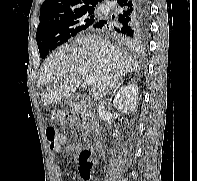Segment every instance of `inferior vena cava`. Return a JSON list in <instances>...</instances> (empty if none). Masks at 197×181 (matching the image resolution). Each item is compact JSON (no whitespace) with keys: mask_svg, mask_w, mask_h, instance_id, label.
I'll list each match as a JSON object with an SVG mask.
<instances>
[{"mask_svg":"<svg viewBox=\"0 0 197 181\" xmlns=\"http://www.w3.org/2000/svg\"><path fill=\"white\" fill-rule=\"evenodd\" d=\"M105 104H106V101L105 100H101L100 101V104L98 106V114L100 117H103L106 113L105 111Z\"/></svg>","mask_w":197,"mask_h":181,"instance_id":"obj_1","label":"inferior vena cava"}]
</instances>
